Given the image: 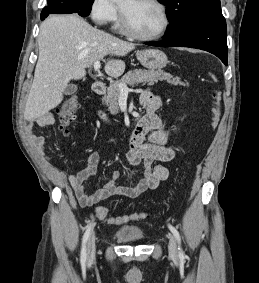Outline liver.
<instances>
[{"instance_id":"1","label":"liver","mask_w":259,"mask_h":283,"mask_svg":"<svg viewBox=\"0 0 259 283\" xmlns=\"http://www.w3.org/2000/svg\"><path fill=\"white\" fill-rule=\"evenodd\" d=\"M39 57L24 110L26 120L38 119L57 107L71 80L86 75L85 69L107 55L122 57L135 48L92 27L78 15H52L42 22L38 37ZM125 63L108 60L105 72L119 77Z\"/></svg>"}]
</instances>
